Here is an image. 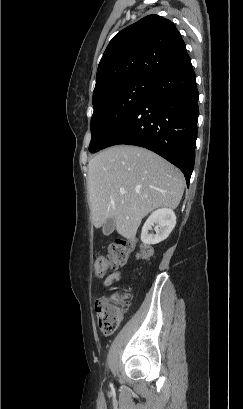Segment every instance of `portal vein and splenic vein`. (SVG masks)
<instances>
[{
	"instance_id": "1",
	"label": "portal vein and splenic vein",
	"mask_w": 243,
	"mask_h": 409,
	"mask_svg": "<svg viewBox=\"0 0 243 409\" xmlns=\"http://www.w3.org/2000/svg\"><path fill=\"white\" fill-rule=\"evenodd\" d=\"M120 193L123 195V194H125V191H124V190H120Z\"/></svg>"
}]
</instances>
